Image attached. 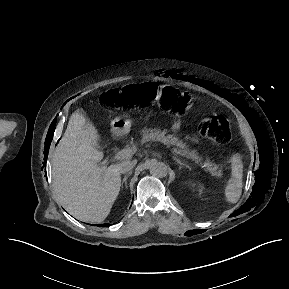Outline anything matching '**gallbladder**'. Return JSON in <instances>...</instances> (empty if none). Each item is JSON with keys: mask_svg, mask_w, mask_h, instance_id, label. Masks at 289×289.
Wrapping results in <instances>:
<instances>
[{"mask_svg": "<svg viewBox=\"0 0 289 289\" xmlns=\"http://www.w3.org/2000/svg\"><path fill=\"white\" fill-rule=\"evenodd\" d=\"M101 142H103L102 139L100 137H98V142L96 144V147L99 149L101 148V145H102Z\"/></svg>", "mask_w": 289, "mask_h": 289, "instance_id": "1", "label": "gallbladder"}]
</instances>
